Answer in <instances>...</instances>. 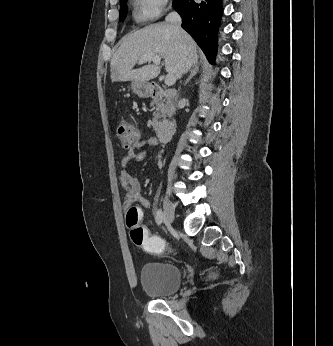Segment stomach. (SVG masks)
<instances>
[{
  "label": "stomach",
  "instance_id": "0dacf381",
  "mask_svg": "<svg viewBox=\"0 0 333 346\" xmlns=\"http://www.w3.org/2000/svg\"><path fill=\"white\" fill-rule=\"evenodd\" d=\"M131 89L140 98H147L151 95V84L148 82L132 81Z\"/></svg>",
  "mask_w": 333,
  "mask_h": 346
}]
</instances>
